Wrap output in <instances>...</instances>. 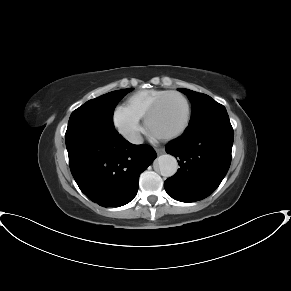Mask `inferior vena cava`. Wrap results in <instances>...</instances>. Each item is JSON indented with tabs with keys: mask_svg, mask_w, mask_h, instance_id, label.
<instances>
[{
	"mask_svg": "<svg viewBox=\"0 0 291 291\" xmlns=\"http://www.w3.org/2000/svg\"><path fill=\"white\" fill-rule=\"evenodd\" d=\"M129 141L133 144H141L143 141H142V138L139 134H132L130 135L129 137Z\"/></svg>",
	"mask_w": 291,
	"mask_h": 291,
	"instance_id": "obj_1",
	"label": "inferior vena cava"
}]
</instances>
